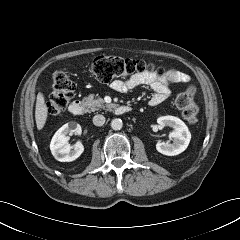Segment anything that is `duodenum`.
I'll use <instances>...</instances> for the list:
<instances>
[{
  "label": "duodenum",
  "mask_w": 240,
  "mask_h": 240,
  "mask_svg": "<svg viewBox=\"0 0 240 240\" xmlns=\"http://www.w3.org/2000/svg\"><path fill=\"white\" fill-rule=\"evenodd\" d=\"M131 107L127 105H120L115 108V113L118 115L131 112ZM69 111L74 116H80L83 114L84 106L80 100H74L69 106Z\"/></svg>",
  "instance_id": "obj_1"
}]
</instances>
